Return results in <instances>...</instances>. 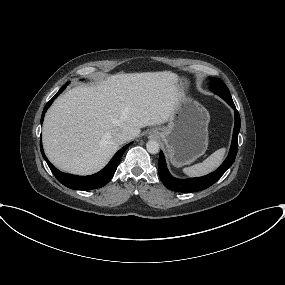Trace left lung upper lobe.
Listing matches in <instances>:
<instances>
[{"label": "left lung upper lobe", "instance_id": "1", "mask_svg": "<svg viewBox=\"0 0 285 285\" xmlns=\"http://www.w3.org/2000/svg\"><path fill=\"white\" fill-rule=\"evenodd\" d=\"M214 83L212 84V89L215 93L221 96L224 100H232L230 92L227 86L220 81V79H212Z\"/></svg>", "mask_w": 285, "mask_h": 285}]
</instances>
